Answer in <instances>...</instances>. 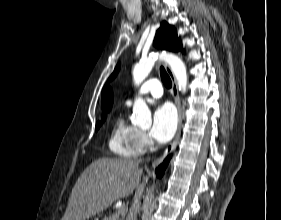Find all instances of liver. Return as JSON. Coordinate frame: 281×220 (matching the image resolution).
I'll list each match as a JSON object with an SVG mask.
<instances>
[{"mask_svg": "<svg viewBox=\"0 0 281 220\" xmlns=\"http://www.w3.org/2000/svg\"><path fill=\"white\" fill-rule=\"evenodd\" d=\"M142 170L138 161L103 157L93 161L76 181L61 220H86L137 190Z\"/></svg>", "mask_w": 281, "mask_h": 220, "instance_id": "obj_1", "label": "liver"}]
</instances>
